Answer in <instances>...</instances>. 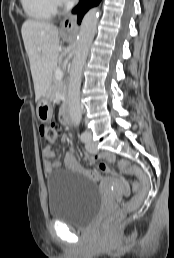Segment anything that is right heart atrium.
Instances as JSON below:
<instances>
[{"label": "right heart atrium", "instance_id": "1", "mask_svg": "<svg viewBox=\"0 0 174 258\" xmlns=\"http://www.w3.org/2000/svg\"><path fill=\"white\" fill-rule=\"evenodd\" d=\"M57 6H63L66 3V0H55Z\"/></svg>", "mask_w": 174, "mask_h": 258}]
</instances>
